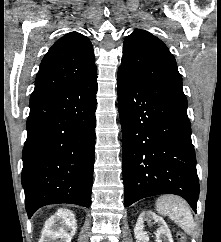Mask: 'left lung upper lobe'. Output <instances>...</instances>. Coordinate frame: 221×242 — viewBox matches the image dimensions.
<instances>
[{
	"mask_svg": "<svg viewBox=\"0 0 221 242\" xmlns=\"http://www.w3.org/2000/svg\"><path fill=\"white\" fill-rule=\"evenodd\" d=\"M119 69L157 93L187 102L174 56L150 32L137 29L125 38Z\"/></svg>",
	"mask_w": 221,
	"mask_h": 242,
	"instance_id": "obj_1",
	"label": "left lung upper lobe"
}]
</instances>
